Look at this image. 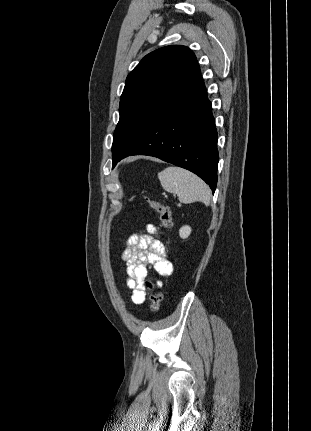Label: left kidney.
I'll list each match as a JSON object with an SVG mask.
<instances>
[{
    "instance_id": "5707ae66",
    "label": "left kidney",
    "mask_w": 311,
    "mask_h": 431,
    "mask_svg": "<svg viewBox=\"0 0 311 431\" xmlns=\"http://www.w3.org/2000/svg\"><path fill=\"white\" fill-rule=\"evenodd\" d=\"M192 229L190 227V225H182V227H180L179 229V235L180 237H182V239H186V237H188V235H190Z\"/></svg>"
}]
</instances>
